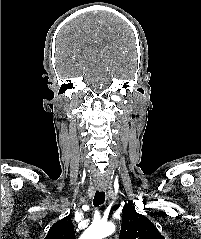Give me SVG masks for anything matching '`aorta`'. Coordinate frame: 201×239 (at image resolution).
I'll return each instance as SVG.
<instances>
[{
  "instance_id": "obj_1",
  "label": "aorta",
  "mask_w": 201,
  "mask_h": 239,
  "mask_svg": "<svg viewBox=\"0 0 201 239\" xmlns=\"http://www.w3.org/2000/svg\"><path fill=\"white\" fill-rule=\"evenodd\" d=\"M115 231V225L111 222L92 224L80 237V239H103Z\"/></svg>"
}]
</instances>
